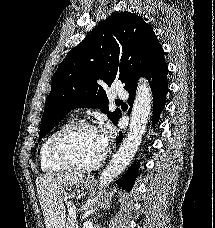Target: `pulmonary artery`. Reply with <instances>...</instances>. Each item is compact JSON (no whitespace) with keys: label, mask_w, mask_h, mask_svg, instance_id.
<instances>
[{"label":"pulmonary artery","mask_w":215,"mask_h":228,"mask_svg":"<svg viewBox=\"0 0 215 228\" xmlns=\"http://www.w3.org/2000/svg\"><path fill=\"white\" fill-rule=\"evenodd\" d=\"M112 95H114V96H127L126 84H113ZM121 101L127 102L128 98L122 97ZM76 112H77V110H76Z\"/></svg>","instance_id":"e3ab8cb5"}]
</instances>
